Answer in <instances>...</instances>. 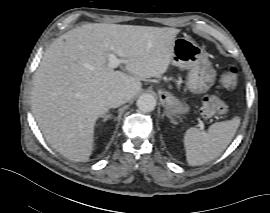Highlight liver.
<instances>
[{
    "instance_id": "1",
    "label": "liver",
    "mask_w": 270,
    "mask_h": 213,
    "mask_svg": "<svg viewBox=\"0 0 270 213\" xmlns=\"http://www.w3.org/2000/svg\"><path fill=\"white\" fill-rule=\"evenodd\" d=\"M175 28L90 23L57 38L33 79L32 112L46 141L71 161L86 162L94 149L96 120L111 107L110 93L127 101L140 79L164 74L173 56ZM109 54L128 73L108 66Z\"/></svg>"
}]
</instances>
